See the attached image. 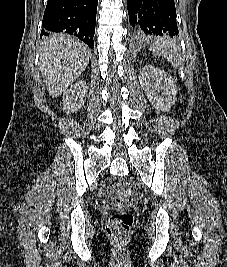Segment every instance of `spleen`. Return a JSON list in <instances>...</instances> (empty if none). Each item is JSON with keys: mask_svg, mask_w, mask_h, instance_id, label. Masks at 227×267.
<instances>
[{"mask_svg": "<svg viewBox=\"0 0 227 267\" xmlns=\"http://www.w3.org/2000/svg\"><path fill=\"white\" fill-rule=\"evenodd\" d=\"M151 50L153 51V53H159L161 51V54L166 57L173 66L177 67L179 65L177 47L173 42L162 40L151 46Z\"/></svg>", "mask_w": 227, "mask_h": 267, "instance_id": "1", "label": "spleen"}]
</instances>
